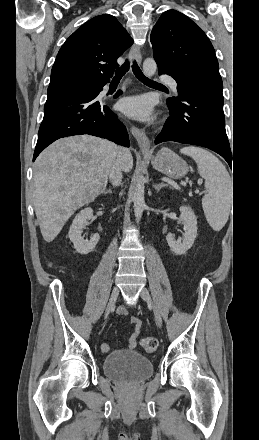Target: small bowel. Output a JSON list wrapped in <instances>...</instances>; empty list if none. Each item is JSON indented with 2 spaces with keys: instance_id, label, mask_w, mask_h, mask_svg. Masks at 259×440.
Here are the masks:
<instances>
[{
  "instance_id": "small-bowel-1",
  "label": "small bowel",
  "mask_w": 259,
  "mask_h": 440,
  "mask_svg": "<svg viewBox=\"0 0 259 440\" xmlns=\"http://www.w3.org/2000/svg\"><path fill=\"white\" fill-rule=\"evenodd\" d=\"M117 313H118V316H120V317L125 316L126 310H125V308L120 307L118 309ZM130 324H132L134 326V331L129 339V348H134L136 345V338L139 335L140 330H141V321L137 317H131ZM102 349H103V351H108L109 346L107 344H103Z\"/></svg>"
}]
</instances>
